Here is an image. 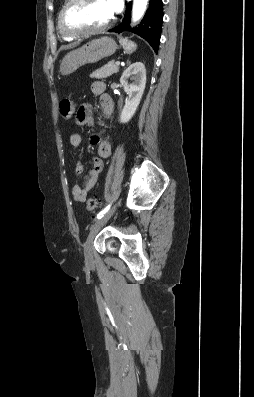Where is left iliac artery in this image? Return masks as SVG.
I'll return each instance as SVG.
<instances>
[{
  "label": "left iliac artery",
  "instance_id": "left-iliac-artery-1",
  "mask_svg": "<svg viewBox=\"0 0 254 397\" xmlns=\"http://www.w3.org/2000/svg\"><path fill=\"white\" fill-rule=\"evenodd\" d=\"M109 208H110V204L107 205L102 211H100V212L97 214L95 220L101 219V218L107 213V211L109 210Z\"/></svg>",
  "mask_w": 254,
  "mask_h": 397
}]
</instances>
